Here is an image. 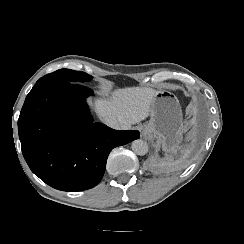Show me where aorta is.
<instances>
[{"label": "aorta", "instance_id": "obj_1", "mask_svg": "<svg viewBox=\"0 0 244 244\" xmlns=\"http://www.w3.org/2000/svg\"><path fill=\"white\" fill-rule=\"evenodd\" d=\"M131 148L137 155L143 156L148 153V144L144 140L137 139L132 142Z\"/></svg>", "mask_w": 244, "mask_h": 244}]
</instances>
